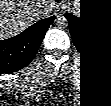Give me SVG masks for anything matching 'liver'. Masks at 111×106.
<instances>
[{
	"label": "liver",
	"instance_id": "6515ba94",
	"mask_svg": "<svg viewBox=\"0 0 111 106\" xmlns=\"http://www.w3.org/2000/svg\"><path fill=\"white\" fill-rule=\"evenodd\" d=\"M30 3V6H27ZM36 4V5H35ZM0 14V37L1 39L10 38L23 31L31 22L39 18L40 14L48 13L47 2H26L14 0H2ZM37 6L44 10L40 12L34 9Z\"/></svg>",
	"mask_w": 111,
	"mask_h": 106
}]
</instances>
